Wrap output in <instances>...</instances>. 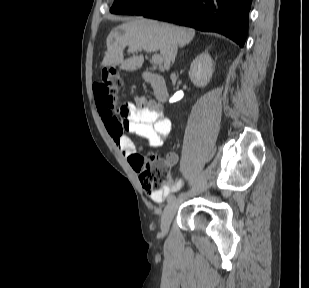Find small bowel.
<instances>
[{
	"instance_id": "c3829d8e",
	"label": "small bowel",
	"mask_w": 309,
	"mask_h": 288,
	"mask_svg": "<svg viewBox=\"0 0 309 288\" xmlns=\"http://www.w3.org/2000/svg\"><path fill=\"white\" fill-rule=\"evenodd\" d=\"M129 116L126 123L118 124L110 118H103L107 133L122 154L127 157L134 171L137 164L132 156L141 148H136L133 141L124 133L125 131L140 136L144 146L148 148L160 147L171 130V121L165 116L163 109L154 101L144 97H136L134 102L127 103ZM167 163L174 166L178 162L176 152L170 151L166 155ZM182 181L175 180L169 187L158 194H151L150 199L155 203H162L173 192L181 187Z\"/></svg>"
}]
</instances>
